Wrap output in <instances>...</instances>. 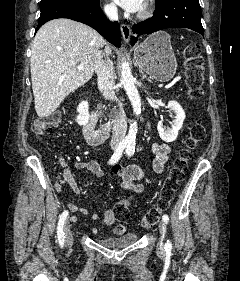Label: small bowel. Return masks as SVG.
<instances>
[{"mask_svg":"<svg viewBox=\"0 0 240 281\" xmlns=\"http://www.w3.org/2000/svg\"><path fill=\"white\" fill-rule=\"evenodd\" d=\"M172 151V145L168 143H155L152 146V152L154 154V160H153V169L156 173H161L164 169L165 163L168 161ZM60 163L63 167L62 171V180L66 182L74 193L79 194L81 192V189L75 179V177L72 174L71 169L69 168L67 162L63 159H60ZM75 167L78 169H86L89 172H91L93 175L97 177H102L104 174L103 169L100 167V165L93 161H83V160H76L75 161ZM112 173L121 178V188L124 190L132 191L137 194H141L144 192V186L141 183V180L144 177V172L138 165H128V166H121L118 164H115L111 168ZM57 192H60L62 189V183L61 181H57L54 185ZM67 208L75 213L80 212L83 215L90 216L93 220H96L98 218V214L91 212L90 210L73 204L69 203L67 205ZM72 221H77L78 218L76 216L71 217ZM115 215L113 209H107L103 215V222L106 226H113L112 232L115 235L123 234L126 230L125 226L121 224H115ZM93 233L97 234V229H93Z\"/></svg>","mask_w":240,"mask_h":281,"instance_id":"1","label":"small bowel"}]
</instances>
